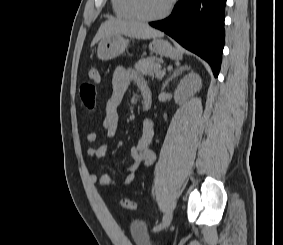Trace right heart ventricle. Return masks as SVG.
I'll use <instances>...</instances> for the list:
<instances>
[{"instance_id": "obj_1", "label": "right heart ventricle", "mask_w": 283, "mask_h": 245, "mask_svg": "<svg viewBox=\"0 0 283 245\" xmlns=\"http://www.w3.org/2000/svg\"><path fill=\"white\" fill-rule=\"evenodd\" d=\"M112 9L115 15L123 19H135V16L129 8L128 0H111Z\"/></svg>"}]
</instances>
